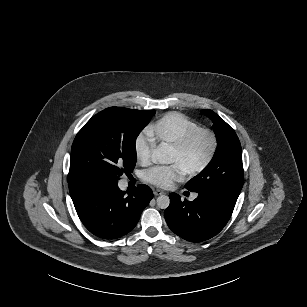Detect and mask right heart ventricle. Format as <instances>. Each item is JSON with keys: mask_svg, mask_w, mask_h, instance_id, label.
Segmentation results:
<instances>
[{"mask_svg": "<svg viewBox=\"0 0 307 307\" xmlns=\"http://www.w3.org/2000/svg\"><path fill=\"white\" fill-rule=\"evenodd\" d=\"M197 130L198 126L187 116L169 112L158 121L150 122L145 129V135L153 141L157 149L164 144L179 143Z\"/></svg>", "mask_w": 307, "mask_h": 307, "instance_id": "obj_1", "label": "right heart ventricle"}]
</instances>
